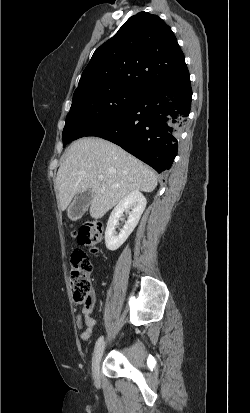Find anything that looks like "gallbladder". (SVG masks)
Returning a JSON list of instances; mask_svg holds the SVG:
<instances>
[{"instance_id":"bac80fb5","label":"gallbladder","mask_w":250,"mask_h":413,"mask_svg":"<svg viewBox=\"0 0 250 413\" xmlns=\"http://www.w3.org/2000/svg\"><path fill=\"white\" fill-rule=\"evenodd\" d=\"M92 199V192L86 190L77 194L74 197L72 204L68 208V217L75 221L82 217L84 212L87 210Z\"/></svg>"}]
</instances>
